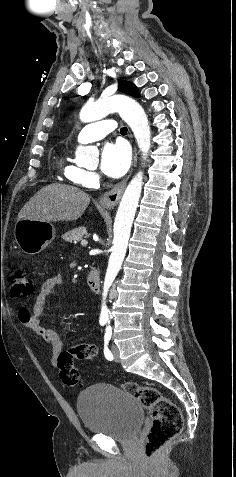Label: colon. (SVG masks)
<instances>
[{
	"mask_svg": "<svg viewBox=\"0 0 236 477\" xmlns=\"http://www.w3.org/2000/svg\"><path fill=\"white\" fill-rule=\"evenodd\" d=\"M10 281L11 296L14 299L28 298L36 291V281L27 275L23 267L18 266L11 270ZM95 356H92L91 346L87 343L62 351L58 355L57 364L63 383L70 387L78 386L80 374L73 367V360H92ZM122 388L150 412L152 424L145 437V454L147 458H153L163 446L181 432L182 413L171 400L154 387L125 382Z\"/></svg>",
	"mask_w": 236,
	"mask_h": 477,
	"instance_id": "5ec220e1",
	"label": "colon"
}]
</instances>
